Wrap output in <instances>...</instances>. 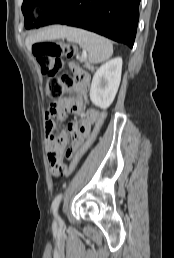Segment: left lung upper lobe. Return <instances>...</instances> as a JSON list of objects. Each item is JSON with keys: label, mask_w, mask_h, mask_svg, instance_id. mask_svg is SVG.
Masks as SVG:
<instances>
[{"label": "left lung upper lobe", "mask_w": 174, "mask_h": 258, "mask_svg": "<svg viewBox=\"0 0 174 258\" xmlns=\"http://www.w3.org/2000/svg\"><path fill=\"white\" fill-rule=\"evenodd\" d=\"M45 2L47 3L48 0H23L22 4V12L24 14L25 19V27L30 29L33 27L32 19L33 13L32 8L38 3ZM63 2V0H50V4L45 6L43 13L38 18L37 22L35 23V27H40L44 23V21L58 8V6Z\"/></svg>", "instance_id": "5c2ea615"}]
</instances>
